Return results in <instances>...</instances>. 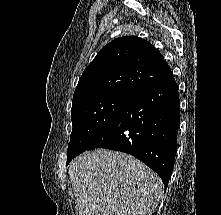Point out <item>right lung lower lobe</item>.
Here are the masks:
<instances>
[{
	"instance_id": "obj_1",
	"label": "right lung lower lobe",
	"mask_w": 221,
	"mask_h": 215,
	"mask_svg": "<svg viewBox=\"0 0 221 215\" xmlns=\"http://www.w3.org/2000/svg\"><path fill=\"white\" fill-rule=\"evenodd\" d=\"M179 111L178 86L170 71L134 95L88 150L108 148L131 154L153 169L166 188L176 154Z\"/></svg>"
}]
</instances>
